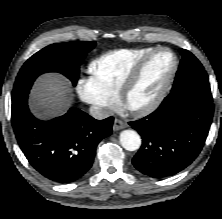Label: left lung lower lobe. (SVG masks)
<instances>
[{"label":"left lung lower lobe","instance_id":"left-lung-lower-lobe-1","mask_svg":"<svg viewBox=\"0 0 222 219\" xmlns=\"http://www.w3.org/2000/svg\"><path fill=\"white\" fill-rule=\"evenodd\" d=\"M213 108L212 96L192 90L171 92L153 113L129 122L143 138L133 165L154 178L186 168L205 143Z\"/></svg>","mask_w":222,"mask_h":219}]
</instances>
